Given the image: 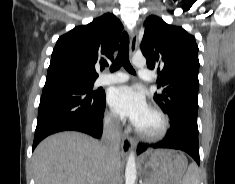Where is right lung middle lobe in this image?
<instances>
[{
	"instance_id": "dd1d6c3e",
	"label": "right lung middle lobe",
	"mask_w": 235,
	"mask_h": 184,
	"mask_svg": "<svg viewBox=\"0 0 235 184\" xmlns=\"http://www.w3.org/2000/svg\"><path fill=\"white\" fill-rule=\"evenodd\" d=\"M63 81L68 85H75L79 86L82 89L86 90L87 92L93 93L95 95H101L104 93L102 89H98L93 91V83L95 80H85L80 78H74V77H65Z\"/></svg>"
}]
</instances>
